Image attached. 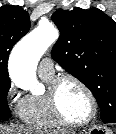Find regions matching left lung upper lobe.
<instances>
[{
    "label": "left lung upper lobe",
    "mask_w": 116,
    "mask_h": 134,
    "mask_svg": "<svg viewBox=\"0 0 116 134\" xmlns=\"http://www.w3.org/2000/svg\"><path fill=\"white\" fill-rule=\"evenodd\" d=\"M51 55L94 95L104 123L116 122V22L97 8L59 9Z\"/></svg>",
    "instance_id": "left-lung-upper-lobe-1"
}]
</instances>
